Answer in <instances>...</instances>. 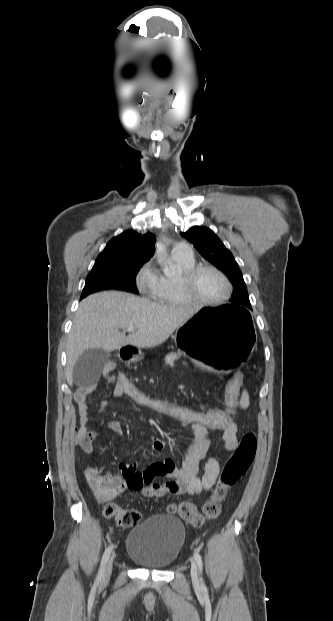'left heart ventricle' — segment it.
<instances>
[{
	"mask_svg": "<svg viewBox=\"0 0 333 621\" xmlns=\"http://www.w3.org/2000/svg\"><path fill=\"white\" fill-rule=\"evenodd\" d=\"M226 291L227 286L223 279L212 271H203L196 278L194 292L201 299L218 300Z\"/></svg>",
	"mask_w": 333,
	"mask_h": 621,
	"instance_id": "left-heart-ventricle-1",
	"label": "left heart ventricle"
}]
</instances>
